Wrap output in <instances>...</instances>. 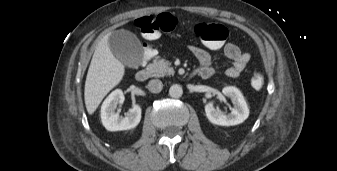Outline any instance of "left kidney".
Masks as SVG:
<instances>
[{
	"mask_svg": "<svg viewBox=\"0 0 337 171\" xmlns=\"http://www.w3.org/2000/svg\"><path fill=\"white\" fill-rule=\"evenodd\" d=\"M222 93L229 97L234 105L229 114H224L213 106V102L205 105L208 120L216 125L233 126L242 123L249 116L247 103L239 89L233 86L223 88Z\"/></svg>",
	"mask_w": 337,
	"mask_h": 171,
	"instance_id": "left-kidney-1",
	"label": "left kidney"
}]
</instances>
